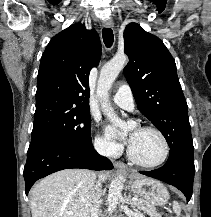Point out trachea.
I'll list each match as a JSON object with an SVG mask.
<instances>
[{
    "label": "trachea",
    "instance_id": "3493384b",
    "mask_svg": "<svg viewBox=\"0 0 211 217\" xmlns=\"http://www.w3.org/2000/svg\"><path fill=\"white\" fill-rule=\"evenodd\" d=\"M103 41L106 47L110 48L114 42V35L111 28H103L102 31Z\"/></svg>",
    "mask_w": 211,
    "mask_h": 217
}]
</instances>
